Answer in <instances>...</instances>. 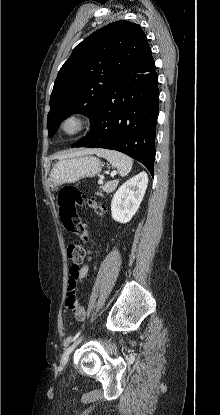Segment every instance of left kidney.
I'll use <instances>...</instances> for the list:
<instances>
[{
  "label": "left kidney",
  "instance_id": "5707ae66",
  "mask_svg": "<svg viewBox=\"0 0 220 415\" xmlns=\"http://www.w3.org/2000/svg\"><path fill=\"white\" fill-rule=\"evenodd\" d=\"M147 184L148 176L141 172L119 187L111 202L112 218L115 221L127 223L132 219L144 197Z\"/></svg>",
  "mask_w": 220,
  "mask_h": 415
}]
</instances>
